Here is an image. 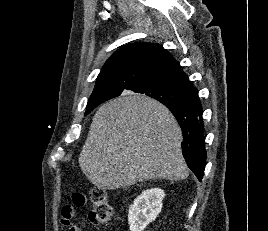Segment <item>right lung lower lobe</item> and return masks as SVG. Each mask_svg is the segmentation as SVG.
I'll return each instance as SVG.
<instances>
[{
	"instance_id": "obj_1",
	"label": "right lung lower lobe",
	"mask_w": 268,
	"mask_h": 231,
	"mask_svg": "<svg viewBox=\"0 0 268 231\" xmlns=\"http://www.w3.org/2000/svg\"><path fill=\"white\" fill-rule=\"evenodd\" d=\"M164 105L180 124L183 132V156L188 167L201 181L206 164V150L203 138V110L198 92L188 104L168 103Z\"/></svg>"
}]
</instances>
